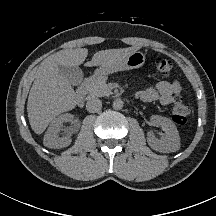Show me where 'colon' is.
<instances>
[{
	"instance_id": "5ec220e1",
	"label": "colon",
	"mask_w": 216,
	"mask_h": 216,
	"mask_svg": "<svg viewBox=\"0 0 216 216\" xmlns=\"http://www.w3.org/2000/svg\"><path fill=\"white\" fill-rule=\"evenodd\" d=\"M173 68L172 62L164 57H157L154 60V69L158 76H168ZM190 109L181 97H176L173 101L172 118L173 121L183 126L188 122Z\"/></svg>"
}]
</instances>
